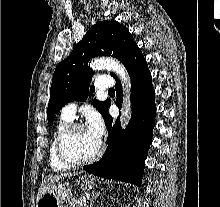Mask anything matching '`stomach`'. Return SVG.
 <instances>
[{"label":"stomach","mask_w":220,"mask_h":207,"mask_svg":"<svg viewBox=\"0 0 220 207\" xmlns=\"http://www.w3.org/2000/svg\"><path fill=\"white\" fill-rule=\"evenodd\" d=\"M83 189L90 190L95 185L94 178L82 176L78 182ZM69 199V191L65 184L55 183L51 188L41 196L37 201L36 207H64L63 203Z\"/></svg>","instance_id":"0dacf381"}]
</instances>
